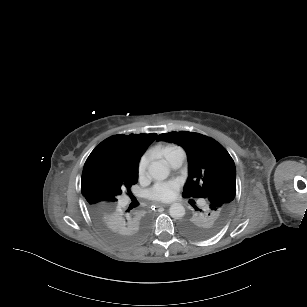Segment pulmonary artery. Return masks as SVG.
Listing matches in <instances>:
<instances>
[{
  "instance_id": "pulmonary-artery-1",
  "label": "pulmonary artery",
  "mask_w": 307,
  "mask_h": 307,
  "mask_svg": "<svg viewBox=\"0 0 307 307\" xmlns=\"http://www.w3.org/2000/svg\"><path fill=\"white\" fill-rule=\"evenodd\" d=\"M162 157L165 159L169 167L173 170L182 166L186 158V151L180 146H168L161 152ZM126 202L122 201L124 206Z\"/></svg>"
}]
</instances>
